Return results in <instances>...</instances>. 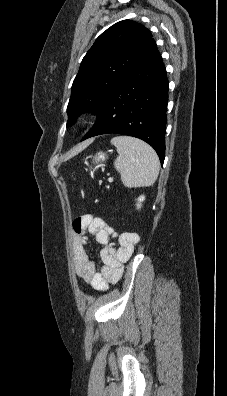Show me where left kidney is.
<instances>
[{
	"instance_id": "left-kidney-1",
	"label": "left kidney",
	"mask_w": 227,
	"mask_h": 396,
	"mask_svg": "<svg viewBox=\"0 0 227 396\" xmlns=\"http://www.w3.org/2000/svg\"><path fill=\"white\" fill-rule=\"evenodd\" d=\"M145 200V197L144 196H140L139 198H138V204H137V208L139 209V208H141V202H143Z\"/></svg>"
}]
</instances>
